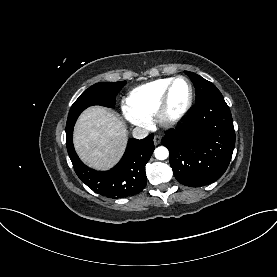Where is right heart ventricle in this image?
Segmentation results:
<instances>
[{
    "label": "right heart ventricle",
    "instance_id": "1",
    "mask_svg": "<svg viewBox=\"0 0 277 277\" xmlns=\"http://www.w3.org/2000/svg\"><path fill=\"white\" fill-rule=\"evenodd\" d=\"M173 78H162L133 89L126 104L132 110L148 118L155 115L161 97Z\"/></svg>",
    "mask_w": 277,
    "mask_h": 277
}]
</instances>
